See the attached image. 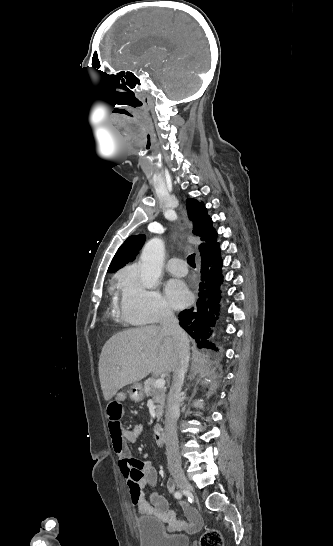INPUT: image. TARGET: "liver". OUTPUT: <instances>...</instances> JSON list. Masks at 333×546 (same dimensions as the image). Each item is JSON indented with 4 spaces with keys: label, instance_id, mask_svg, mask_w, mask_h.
I'll return each instance as SVG.
<instances>
[{
    "label": "liver",
    "instance_id": "1",
    "mask_svg": "<svg viewBox=\"0 0 333 546\" xmlns=\"http://www.w3.org/2000/svg\"><path fill=\"white\" fill-rule=\"evenodd\" d=\"M178 355L172 336L156 325L123 331L103 346L98 371L101 389L109 401L119 389L137 383L150 373L173 372Z\"/></svg>",
    "mask_w": 333,
    "mask_h": 546
}]
</instances>
